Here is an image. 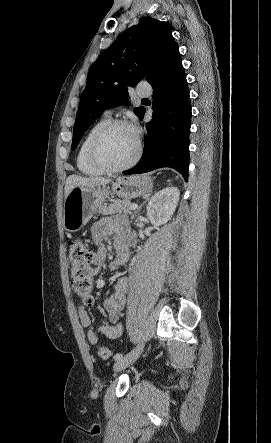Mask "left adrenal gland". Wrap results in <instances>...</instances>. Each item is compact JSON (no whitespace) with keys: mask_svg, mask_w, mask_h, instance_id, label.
Listing matches in <instances>:
<instances>
[{"mask_svg":"<svg viewBox=\"0 0 271 443\" xmlns=\"http://www.w3.org/2000/svg\"><path fill=\"white\" fill-rule=\"evenodd\" d=\"M150 198H145V202H143V204H146V202H149ZM143 204H141V206H139V208H137V212H135V214H138V212H140ZM134 214V216H135ZM134 216H132L131 220H133Z\"/></svg>","mask_w":271,"mask_h":443,"instance_id":"a2214340","label":"left adrenal gland"}]
</instances>
